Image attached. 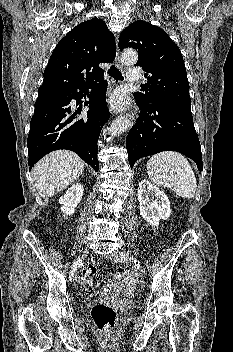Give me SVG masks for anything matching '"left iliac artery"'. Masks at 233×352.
<instances>
[{"mask_svg": "<svg viewBox=\"0 0 233 352\" xmlns=\"http://www.w3.org/2000/svg\"><path fill=\"white\" fill-rule=\"evenodd\" d=\"M133 260V262H134V264L136 265V266H139V261L137 260V259H135V258H130V260Z\"/></svg>", "mask_w": 233, "mask_h": 352, "instance_id": "obj_1", "label": "left iliac artery"}]
</instances>
